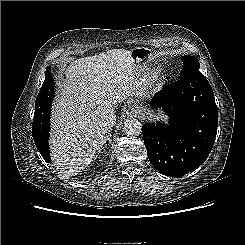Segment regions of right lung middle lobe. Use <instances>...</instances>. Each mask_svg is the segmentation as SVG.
Wrapping results in <instances>:
<instances>
[{
	"label": "right lung middle lobe",
	"mask_w": 245,
	"mask_h": 245,
	"mask_svg": "<svg viewBox=\"0 0 245 245\" xmlns=\"http://www.w3.org/2000/svg\"><path fill=\"white\" fill-rule=\"evenodd\" d=\"M54 97V79L51 73V67L48 66L45 72V81L39 91L35 103V117H49L52 100Z\"/></svg>",
	"instance_id": "right-lung-middle-lobe-1"
}]
</instances>
